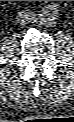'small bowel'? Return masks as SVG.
<instances>
[{"label":"small bowel","instance_id":"1","mask_svg":"<svg viewBox=\"0 0 74 122\" xmlns=\"http://www.w3.org/2000/svg\"><path fill=\"white\" fill-rule=\"evenodd\" d=\"M44 14L48 17H50V19H53L55 14H56V8L53 5H48L45 7L44 9Z\"/></svg>","mask_w":74,"mask_h":122}]
</instances>
